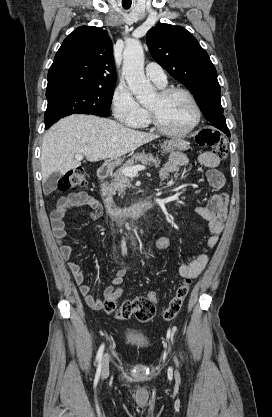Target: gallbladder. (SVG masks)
Segmentation results:
<instances>
[{
  "label": "gallbladder",
  "mask_w": 272,
  "mask_h": 417,
  "mask_svg": "<svg viewBox=\"0 0 272 417\" xmlns=\"http://www.w3.org/2000/svg\"><path fill=\"white\" fill-rule=\"evenodd\" d=\"M60 177L61 174L59 172H54L47 178L43 185V190L45 194H50L56 189V185Z\"/></svg>",
  "instance_id": "gallbladder-1"
}]
</instances>
